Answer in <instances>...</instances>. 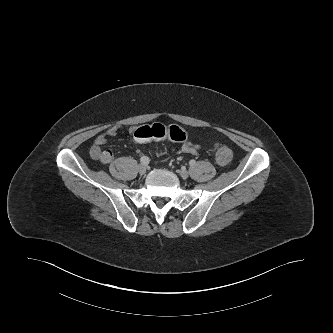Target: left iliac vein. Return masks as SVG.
Returning <instances> with one entry per match:
<instances>
[{
    "mask_svg": "<svg viewBox=\"0 0 333 333\" xmlns=\"http://www.w3.org/2000/svg\"><path fill=\"white\" fill-rule=\"evenodd\" d=\"M180 176L182 179H187L189 177V173L187 170H181L180 171Z\"/></svg>",
    "mask_w": 333,
    "mask_h": 333,
    "instance_id": "4c4485c4",
    "label": "left iliac vein"
}]
</instances>
